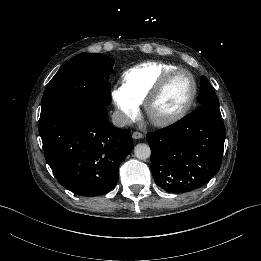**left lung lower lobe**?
<instances>
[{
    "label": "left lung lower lobe",
    "mask_w": 261,
    "mask_h": 261,
    "mask_svg": "<svg viewBox=\"0 0 261 261\" xmlns=\"http://www.w3.org/2000/svg\"><path fill=\"white\" fill-rule=\"evenodd\" d=\"M154 152L151 171L156 184L169 193L206 185L222 162L225 126L217 100L211 99L177 123L147 134Z\"/></svg>",
    "instance_id": "left-lung-lower-lobe-1"
}]
</instances>
